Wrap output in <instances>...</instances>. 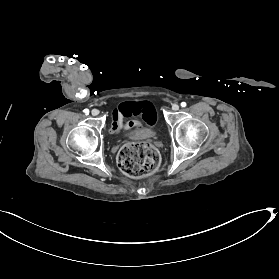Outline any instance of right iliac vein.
I'll return each mask as SVG.
<instances>
[{
    "mask_svg": "<svg viewBox=\"0 0 279 279\" xmlns=\"http://www.w3.org/2000/svg\"><path fill=\"white\" fill-rule=\"evenodd\" d=\"M91 114H92L93 116H97V115L99 114V110H98V109H93V110L91 111Z\"/></svg>",
    "mask_w": 279,
    "mask_h": 279,
    "instance_id": "63e3f726",
    "label": "right iliac vein"
}]
</instances>
